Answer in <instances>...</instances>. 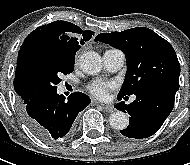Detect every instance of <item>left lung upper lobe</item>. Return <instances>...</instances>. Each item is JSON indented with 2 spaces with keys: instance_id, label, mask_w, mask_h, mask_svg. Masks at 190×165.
<instances>
[{
  "instance_id": "5c2ea615",
  "label": "left lung upper lobe",
  "mask_w": 190,
  "mask_h": 165,
  "mask_svg": "<svg viewBox=\"0 0 190 165\" xmlns=\"http://www.w3.org/2000/svg\"><path fill=\"white\" fill-rule=\"evenodd\" d=\"M101 41L122 50L127 60L125 81L119 97L153 87L179 89L180 64L168 41L151 29L137 27L122 32L102 33Z\"/></svg>"
}]
</instances>
